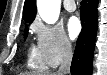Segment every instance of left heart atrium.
Masks as SVG:
<instances>
[{"instance_id":"1","label":"left heart atrium","mask_w":107,"mask_h":75,"mask_svg":"<svg viewBox=\"0 0 107 75\" xmlns=\"http://www.w3.org/2000/svg\"><path fill=\"white\" fill-rule=\"evenodd\" d=\"M82 29L80 20L77 17H71L68 21V32L72 39L78 37Z\"/></svg>"}]
</instances>
